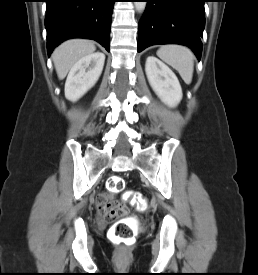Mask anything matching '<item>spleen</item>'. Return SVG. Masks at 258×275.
Here are the masks:
<instances>
[{"label": "spleen", "mask_w": 258, "mask_h": 275, "mask_svg": "<svg viewBox=\"0 0 258 275\" xmlns=\"http://www.w3.org/2000/svg\"><path fill=\"white\" fill-rule=\"evenodd\" d=\"M157 55L176 69L186 84L192 82L194 55L188 47L181 45H164L157 51Z\"/></svg>", "instance_id": "1"}]
</instances>
